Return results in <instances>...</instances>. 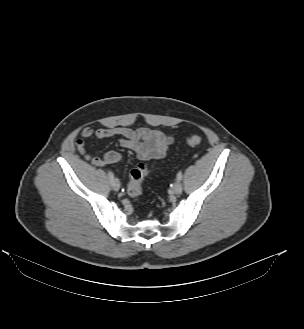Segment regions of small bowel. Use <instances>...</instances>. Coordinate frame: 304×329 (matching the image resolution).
Returning <instances> with one entry per match:
<instances>
[{
	"label": "small bowel",
	"mask_w": 304,
	"mask_h": 329,
	"mask_svg": "<svg viewBox=\"0 0 304 329\" xmlns=\"http://www.w3.org/2000/svg\"><path fill=\"white\" fill-rule=\"evenodd\" d=\"M98 139L120 136L119 144L131 150L137 160L149 161L164 158L170 150L173 138L164 132L150 128L132 129L129 127H109L93 130L86 127L82 130L81 139L77 140L76 146L80 154L95 166L117 164L121 161V154L116 151H109L103 157H93L86 153V139L91 137Z\"/></svg>",
	"instance_id": "obj_1"
}]
</instances>
